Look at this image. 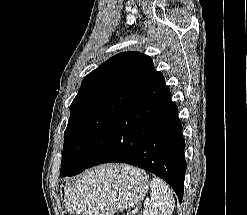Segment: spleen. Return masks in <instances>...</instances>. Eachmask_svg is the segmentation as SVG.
Returning a JSON list of instances; mask_svg holds the SVG:
<instances>
[{"label": "spleen", "instance_id": "spleen-1", "mask_svg": "<svg viewBox=\"0 0 247 215\" xmlns=\"http://www.w3.org/2000/svg\"><path fill=\"white\" fill-rule=\"evenodd\" d=\"M150 188V198H146L144 202V215H171L175 200L169 185L162 179L154 177Z\"/></svg>", "mask_w": 247, "mask_h": 215}]
</instances>
